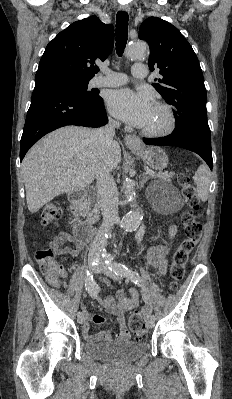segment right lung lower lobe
<instances>
[{"label":"right lung lower lobe","mask_w":232,"mask_h":399,"mask_svg":"<svg viewBox=\"0 0 232 399\" xmlns=\"http://www.w3.org/2000/svg\"><path fill=\"white\" fill-rule=\"evenodd\" d=\"M108 122L103 99L87 98L59 80L35 81L20 142V161L45 134L65 125L100 127Z\"/></svg>","instance_id":"right-lung-lower-lobe-1"}]
</instances>
